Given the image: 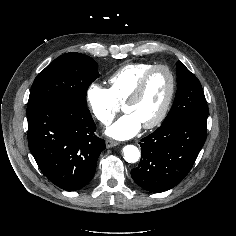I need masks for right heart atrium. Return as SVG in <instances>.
Here are the masks:
<instances>
[{"mask_svg": "<svg viewBox=\"0 0 236 236\" xmlns=\"http://www.w3.org/2000/svg\"><path fill=\"white\" fill-rule=\"evenodd\" d=\"M86 101L92 116L103 125L110 124L120 109L110 90L98 83L88 87Z\"/></svg>", "mask_w": 236, "mask_h": 236, "instance_id": "d8ad5b80", "label": "right heart atrium"}]
</instances>
